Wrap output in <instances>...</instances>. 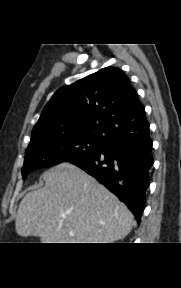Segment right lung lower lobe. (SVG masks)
<instances>
[{
    "label": "right lung lower lobe",
    "mask_w": 181,
    "mask_h": 288,
    "mask_svg": "<svg viewBox=\"0 0 181 288\" xmlns=\"http://www.w3.org/2000/svg\"><path fill=\"white\" fill-rule=\"evenodd\" d=\"M152 140L118 141L72 164L80 167L123 201L141 221L153 164Z\"/></svg>",
    "instance_id": "98d812e1"
}]
</instances>
